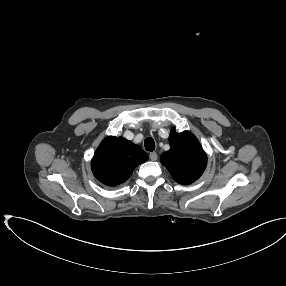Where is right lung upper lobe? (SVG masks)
Masks as SVG:
<instances>
[{
  "mask_svg": "<svg viewBox=\"0 0 286 286\" xmlns=\"http://www.w3.org/2000/svg\"><path fill=\"white\" fill-rule=\"evenodd\" d=\"M147 160L148 155L140 146L123 137L109 136L97 148L91 167L101 183L116 186L125 182L133 170Z\"/></svg>",
  "mask_w": 286,
  "mask_h": 286,
  "instance_id": "obj_1",
  "label": "right lung upper lobe"
}]
</instances>
